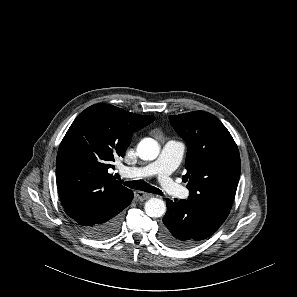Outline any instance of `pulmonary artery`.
<instances>
[{
    "mask_svg": "<svg viewBox=\"0 0 297 297\" xmlns=\"http://www.w3.org/2000/svg\"><path fill=\"white\" fill-rule=\"evenodd\" d=\"M185 149L184 142L169 140L163 145L159 157L153 163L146 167L124 169L123 173L133 178L155 176L163 191L179 199H186L189 196V191L174 182L170 177L171 173L180 164Z\"/></svg>",
    "mask_w": 297,
    "mask_h": 297,
    "instance_id": "pulmonary-artery-1",
    "label": "pulmonary artery"
}]
</instances>
